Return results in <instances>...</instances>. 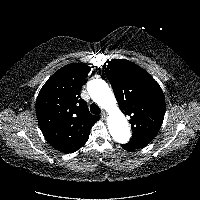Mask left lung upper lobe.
<instances>
[{"mask_svg": "<svg viewBox=\"0 0 200 200\" xmlns=\"http://www.w3.org/2000/svg\"><path fill=\"white\" fill-rule=\"evenodd\" d=\"M108 77L121 111L130 116L131 150L148 145L161 128L165 98L159 84L138 65L125 59L111 60Z\"/></svg>", "mask_w": 200, "mask_h": 200, "instance_id": "5c2ea615", "label": "left lung upper lobe"}]
</instances>
